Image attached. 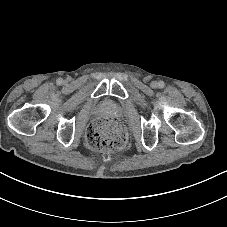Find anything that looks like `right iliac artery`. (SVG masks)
I'll use <instances>...</instances> for the list:
<instances>
[{"label": "right iliac artery", "instance_id": "82829eb1", "mask_svg": "<svg viewBox=\"0 0 227 227\" xmlns=\"http://www.w3.org/2000/svg\"><path fill=\"white\" fill-rule=\"evenodd\" d=\"M62 81H63L62 78H58L56 82H57V84L60 85L62 83Z\"/></svg>", "mask_w": 227, "mask_h": 227}]
</instances>
